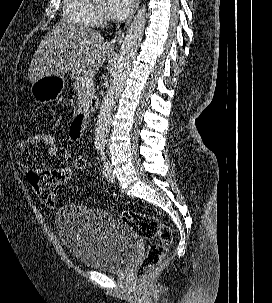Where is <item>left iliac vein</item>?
Returning <instances> with one entry per match:
<instances>
[{
    "mask_svg": "<svg viewBox=\"0 0 272 303\" xmlns=\"http://www.w3.org/2000/svg\"><path fill=\"white\" fill-rule=\"evenodd\" d=\"M103 176L108 182H115L116 177L112 172L111 165L108 162H105L103 165Z\"/></svg>",
    "mask_w": 272,
    "mask_h": 303,
    "instance_id": "4c4485c4",
    "label": "left iliac vein"
}]
</instances>
